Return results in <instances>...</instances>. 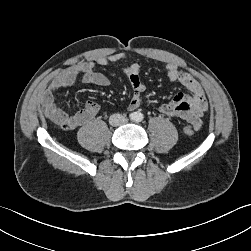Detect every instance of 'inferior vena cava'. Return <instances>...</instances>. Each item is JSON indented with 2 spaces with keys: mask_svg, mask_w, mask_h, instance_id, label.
<instances>
[{
  "mask_svg": "<svg viewBox=\"0 0 251 251\" xmlns=\"http://www.w3.org/2000/svg\"><path fill=\"white\" fill-rule=\"evenodd\" d=\"M127 119L121 114H113L109 118V123L112 126H120L126 123Z\"/></svg>",
  "mask_w": 251,
  "mask_h": 251,
  "instance_id": "obj_1",
  "label": "inferior vena cava"
}]
</instances>
